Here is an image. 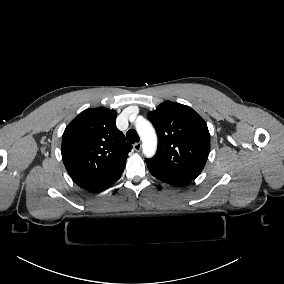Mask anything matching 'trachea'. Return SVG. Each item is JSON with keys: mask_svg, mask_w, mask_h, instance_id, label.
I'll list each match as a JSON object with an SVG mask.
<instances>
[{"mask_svg": "<svg viewBox=\"0 0 284 284\" xmlns=\"http://www.w3.org/2000/svg\"><path fill=\"white\" fill-rule=\"evenodd\" d=\"M126 140L133 144L135 142H139V136L134 129H130L126 134Z\"/></svg>", "mask_w": 284, "mask_h": 284, "instance_id": "trachea-1", "label": "trachea"}]
</instances>
